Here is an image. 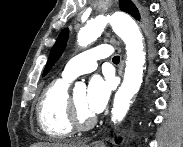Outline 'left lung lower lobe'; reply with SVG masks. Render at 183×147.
<instances>
[{
    "label": "left lung lower lobe",
    "instance_id": "1",
    "mask_svg": "<svg viewBox=\"0 0 183 147\" xmlns=\"http://www.w3.org/2000/svg\"><path fill=\"white\" fill-rule=\"evenodd\" d=\"M150 42L152 44V38L151 37H150ZM151 54H152V56H154V54H155L153 49H152V53Z\"/></svg>",
    "mask_w": 183,
    "mask_h": 147
}]
</instances>
